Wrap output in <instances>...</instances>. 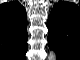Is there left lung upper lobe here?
I'll return each instance as SVG.
<instances>
[{
    "instance_id": "obj_1",
    "label": "left lung upper lobe",
    "mask_w": 80,
    "mask_h": 60,
    "mask_svg": "<svg viewBox=\"0 0 80 60\" xmlns=\"http://www.w3.org/2000/svg\"><path fill=\"white\" fill-rule=\"evenodd\" d=\"M76 9L77 6L73 3L59 2L49 15L48 41L60 58H63L70 48L77 49L80 46V37L77 36L75 27L78 22V18L75 19Z\"/></svg>"
}]
</instances>
